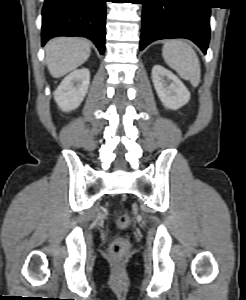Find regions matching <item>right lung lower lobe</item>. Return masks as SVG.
Returning <instances> with one entry per match:
<instances>
[{
    "label": "right lung lower lobe",
    "instance_id": "right-lung-lower-lobe-1",
    "mask_svg": "<svg viewBox=\"0 0 246 300\" xmlns=\"http://www.w3.org/2000/svg\"><path fill=\"white\" fill-rule=\"evenodd\" d=\"M106 0H45L42 46L56 36H82L105 50Z\"/></svg>",
    "mask_w": 246,
    "mask_h": 300
}]
</instances>
